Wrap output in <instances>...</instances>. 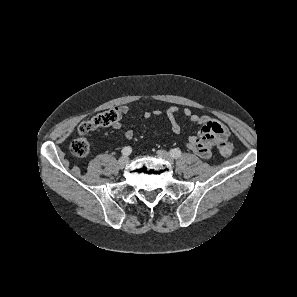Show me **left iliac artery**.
<instances>
[{
  "label": "left iliac artery",
  "instance_id": "left-iliac-artery-1",
  "mask_svg": "<svg viewBox=\"0 0 297 297\" xmlns=\"http://www.w3.org/2000/svg\"><path fill=\"white\" fill-rule=\"evenodd\" d=\"M170 154L173 158H179V157H181L182 152L180 149L175 148V149L170 150Z\"/></svg>",
  "mask_w": 297,
  "mask_h": 297
}]
</instances>
